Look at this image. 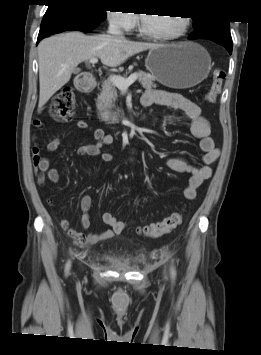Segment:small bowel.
Returning <instances> with one entry per match:
<instances>
[{
	"label": "small bowel",
	"mask_w": 261,
	"mask_h": 355,
	"mask_svg": "<svg viewBox=\"0 0 261 355\" xmlns=\"http://www.w3.org/2000/svg\"><path fill=\"white\" fill-rule=\"evenodd\" d=\"M141 103L143 106L163 105L180 109L191 120V133L199 140V148L202 152V164L200 166H194L182 157L170 156L166 159L165 165L169 170L188 172L190 174V178L184 187L183 193L186 199H194L198 187L212 174L210 165L213 164L219 156V151L210 137V125L207 119L202 115L200 106L196 102L187 99L180 94L157 89H147L141 98ZM43 126L44 124L42 121L37 120L34 122V128L36 130L42 129ZM76 126L82 131L91 130L92 135L96 140L94 144L80 146L77 149V154L80 156L101 157L104 162H110L112 156L108 153H102V149L113 143V136L105 134L102 129H92L88 123L83 120H78ZM60 144V138H54L46 144L45 148L48 152H54L59 148ZM134 153L135 150H132V162L134 161ZM32 162L37 175V181L40 185H44L46 182H59V172L56 169L51 168L49 159L42 155V148L38 143H35L32 147ZM79 205L82 211L81 226L84 229H87L91 224V197L87 194L82 195ZM102 221L109 228L91 233H82L78 231L72 227L69 221L65 218L60 219V225L74 241L80 244L94 245L110 238L114 234L121 233L131 224L119 220L116 216L108 212L102 215Z\"/></svg>",
	"instance_id": "small-bowel-1"
}]
</instances>
